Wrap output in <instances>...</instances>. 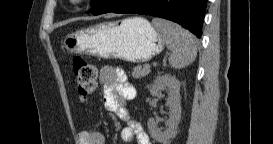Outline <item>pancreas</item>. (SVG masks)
Masks as SVG:
<instances>
[{
    "instance_id": "pancreas-1",
    "label": "pancreas",
    "mask_w": 273,
    "mask_h": 144,
    "mask_svg": "<svg viewBox=\"0 0 273 144\" xmlns=\"http://www.w3.org/2000/svg\"><path fill=\"white\" fill-rule=\"evenodd\" d=\"M150 73V68H147L146 65L142 66H136L133 68L132 76L136 79L145 77Z\"/></svg>"
}]
</instances>
